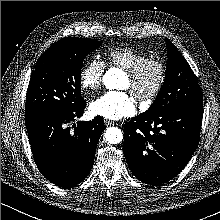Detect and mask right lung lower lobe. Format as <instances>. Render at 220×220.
Here are the masks:
<instances>
[{"mask_svg": "<svg viewBox=\"0 0 220 220\" xmlns=\"http://www.w3.org/2000/svg\"><path fill=\"white\" fill-rule=\"evenodd\" d=\"M84 108L85 103L73 110L47 108L25 113L35 163L47 180L61 188L73 187L88 176L105 129L101 116L70 127Z\"/></svg>", "mask_w": 220, "mask_h": 220, "instance_id": "obj_1", "label": "right lung lower lobe"}]
</instances>
